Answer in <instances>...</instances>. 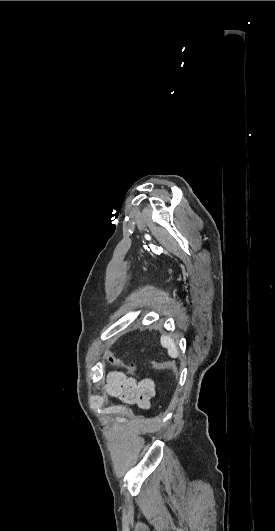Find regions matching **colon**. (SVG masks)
<instances>
[{
    "label": "colon",
    "mask_w": 275,
    "mask_h": 531,
    "mask_svg": "<svg viewBox=\"0 0 275 531\" xmlns=\"http://www.w3.org/2000/svg\"><path fill=\"white\" fill-rule=\"evenodd\" d=\"M104 356H107V360L114 366L125 367L129 371H136L137 367L135 364H127L123 359L116 356L114 350H109L107 353H104ZM150 367L154 370H168L174 376L176 375V366L173 362L167 359L155 360L150 364Z\"/></svg>",
    "instance_id": "5ec220e1"
}]
</instances>
